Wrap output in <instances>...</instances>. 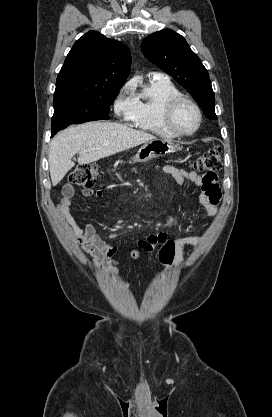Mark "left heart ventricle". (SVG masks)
Wrapping results in <instances>:
<instances>
[{
  "instance_id": "1",
  "label": "left heart ventricle",
  "mask_w": 272,
  "mask_h": 417,
  "mask_svg": "<svg viewBox=\"0 0 272 417\" xmlns=\"http://www.w3.org/2000/svg\"><path fill=\"white\" fill-rule=\"evenodd\" d=\"M197 121V113L191 105L187 103L180 105L174 119L175 125L179 130L185 132L191 131L196 127Z\"/></svg>"
}]
</instances>
